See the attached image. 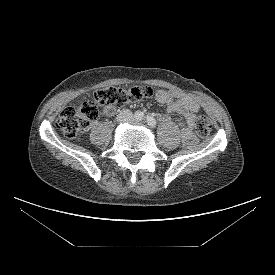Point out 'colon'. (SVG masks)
<instances>
[{"instance_id": "obj_1", "label": "colon", "mask_w": 275, "mask_h": 275, "mask_svg": "<svg viewBox=\"0 0 275 275\" xmlns=\"http://www.w3.org/2000/svg\"><path fill=\"white\" fill-rule=\"evenodd\" d=\"M153 95L151 87H107L97 90L92 100L79 106H70L62 110L56 118V126L65 137L74 138L98 116L97 105H126L140 101ZM195 130L200 137H206L211 130V122L205 115H199L195 122Z\"/></svg>"}]
</instances>
